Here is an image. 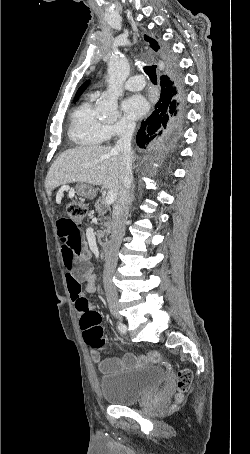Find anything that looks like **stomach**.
Returning <instances> with one entry per match:
<instances>
[{
	"label": "stomach",
	"instance_id": "1",
	"mask_svg": "<svg viewBox=\"0 0 250 454\" xmlns=\"http://www.w3.org/2000/svg\"><path fill=\"white\" fill-rule=\"evenodd\" d=\"M77 193L79 196L93 199L96 195V189H94L91 185L86 183H80L78 186Z\"/></svg>",
	"mask_w": 250,
	"mask_h": 454
}]
</instances>
